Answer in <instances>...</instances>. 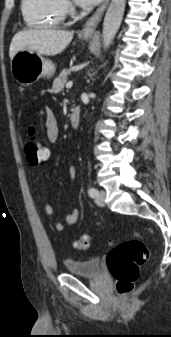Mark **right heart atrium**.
<instances>
[{
  "instance_id": "d8ad5b80",
  "label": "right heart atrium",
  "mask_w": 171,
  "mask_h": 337,
  "mask_svg": "<svg viewBox=\"0 0 171 337\" xmlns=\"http://www.w3.org/2000/svg\"><path fill=\"white\" fill-rule=\"evenodd\" d=\"M65 8H66V10H68V11H71V10H72V6H71L69 3H66V4H65Z\"/></svg>"
}]
</instances>
